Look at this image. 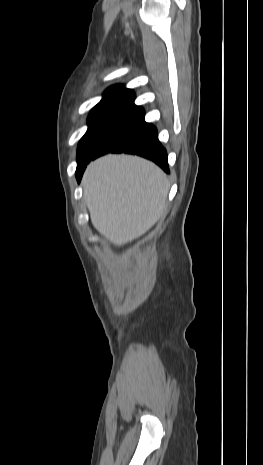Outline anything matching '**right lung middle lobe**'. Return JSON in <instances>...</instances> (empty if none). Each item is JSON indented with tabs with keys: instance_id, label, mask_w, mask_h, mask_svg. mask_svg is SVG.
Masks as SVG:
<instances>
[{
	"instance_id": "right-lung-middle-lobe-1",
	"label": "right lung middle lobe",
	"mask_w": 263,
	"mask_h": 465,
	"mask_svg": "<svg viewBox=\"0 0 263 465\" xmlns=\"http://www.w3.org/2000/svg\"><path fill=\"white\" fill-rule=\"evenodd\" d=\"M136 106L133 101H106L97 104L88 117V130L77 151V167L83 166L96 153L106 136Z\"/></svg>"
}]
</instances>
